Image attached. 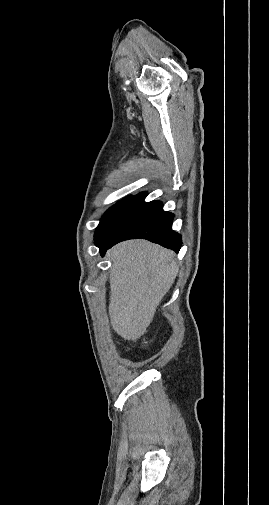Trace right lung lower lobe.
I'll return each instance as SVG.
<instances>
[{
	"label": "right lung lower lobe",
	"instance_id": "1",
	"mask_svg": "<svg viewBox=\"0 0 269 505\" xmlns=\"http://www.w3.org/2000/svg\"><path fill=\"white\" fill-rule=\"evenodd\" d=\"M139 193L120 211L101 240L96 244L103 256L118 242L143 238L179 252L181 235L172 230L173 214L163 210L159 201L145 202Z\"/></svg>",
	"mask_w": 269,
	"mask_h": 505
}]
</instances>
